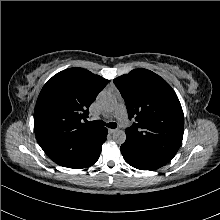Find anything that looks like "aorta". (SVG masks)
Listing matches in <instances>:
<instances>
[{"mask_svg": "<svg viewBox=\"0 0 220 220\" xmlns=\"http://www.w3.org/2000/svg\"><path fill=\"white\" fill-rule=\"evenodd\" d=\"M97 102L103 109H112L115 105V98L109 92H101L97 97ZM112 138L115 143L123 144L126 140L125 131L122 129H116L113 134Z\"/></svg>", "mask_w": 220, "mask_h": 220, "instance_id": "obj_1", "label": "aorta"}]
</instances>
